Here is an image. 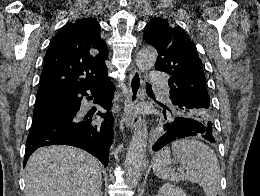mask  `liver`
<instances>
[{
	"mask_svg": "<svg viewBox=\"0 0 260 196\" xmlns=\"http://www.w3.org/2000/svg\"><path fill=\"white\" fill-rule=\"evenodd\" d=\"M100 162L71 146H47L30 156L25 196H101Z\"/></svg>",
	"mask_w": 260,
	"mask_h": 196,
	"instance_id": "obj_1",
	"label": "liver"
}]
</instances>
